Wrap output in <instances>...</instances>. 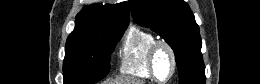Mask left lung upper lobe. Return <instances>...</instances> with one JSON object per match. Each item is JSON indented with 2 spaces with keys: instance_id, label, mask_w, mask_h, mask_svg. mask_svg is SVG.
Returning <instances> with one entry per match:
<instances>
[{
  "instance_id": "obj_1",
  "label": "left lung upper lobe",
  "mask_w": 260,
  "mask_h": 84,
  "mask_svg": "<svg viewBox=\"0 0 260 84\" xmlns=\"http://www.w3.org/2000/svg\"><path fill=\"white\" fill-rule=\"evenodd\" d=\"M136 23L159 34L173 49L179 84H205L199 27L183 0H130Z\"/></svg>"
}]
</instances>
